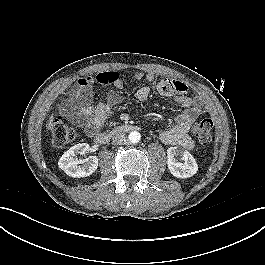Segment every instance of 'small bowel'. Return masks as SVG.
Here are the masks:
<instances>
[{"label": "small bowel", "mask_w": 265, "mask_h": 265, "mask_svg": "<svg viewBox=\"0 0 265 265\" xmlns=\"http://www.w3.org/2000/svg\"><path fill=\"white\" fill-rule=\"evenodd\" d=\"M110 74H113L112 79L108 80L105 77L102 80L97 79V81L101 84L112 83L116 89H123L125 82L118 73ZM133 77L135 80L155 81V75L152 73L136 72ZM93 84L94 79L90 76L78 79L72 92L62 101L60 106L61 111L90 136L94 135L105 124L111 108L119 102L117 92L111 90L105 102L94 105ZM157 91L163 96L172 97L175 102L184 108V111L176 117L174 125L158 131L160 139L165 144L179 145L187 150H192L194 142L188 131L191 124L203 114V104L197 97L189 95L186 85L177 80L160 81L157 84ZM150 92L148 86H142L136 91L135 96L139 101H146L150 96Z\"/></svg>", "instance_id": "small-bowel-1"}]
</instances>
